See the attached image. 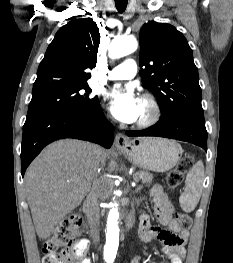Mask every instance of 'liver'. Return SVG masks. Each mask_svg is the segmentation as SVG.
Returning <instances> with one entry per match:
<instances>
[{
	"label": "liver",
	"mask_w": 233,
	"mask_h": 263,
	"mask_svg": "<svg viewBox=\"0 0 233 263\" xmlns=\"http://www.w3.org/2000/svg\"><path fill=\"white\" fill-rule=\"evenodd\" d=\"M107 157L106 151L97 152L89 142L63 139L51 143L31 163L24 186L39 238H48L81 204Z\"/></svg>",
	"instance_id": "liver-1"
}]
</instances>
